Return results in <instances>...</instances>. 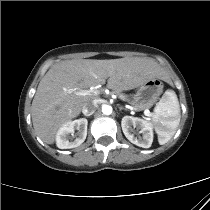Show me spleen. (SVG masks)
Masks as SVG:
<instances>
[{
    "mask_svg": "<svg viewBox=\"0 0 210 210\" xmlns=\"http://www.w3.org/2000/svg\"><path fill=\"white\" fill-rule=\"evenodd\" d=\"M180 117L177 95L173 90H167L156 105L151 120L160 145L167 143L173 137Z\"/></svg>",
    "mask_w": 210,
    "mask_h": 210,
    "instance_id": "spleen-1",
    "label": "spleen"
}]
</instances>
